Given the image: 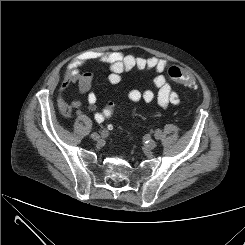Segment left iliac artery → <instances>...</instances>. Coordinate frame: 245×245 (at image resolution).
Wrapping results in <instances>:
<instances>
[{
  "label": "left iliac artery",
  "instance_id": "44dca946",
  "mask_svg": "<svg viewBox=\"0 0 245 245\" xmlns=\"http://www.w3.org/2000/svg\"><path fill=\"white\" fill-rule=\"evenodd\" d=\"M160 137H161V131H160V130H157V131L155 132V138H156V139H160Z\"/></svg>",
  "mask_w": 245,
  "mask_h": 245
}]
</instances>
